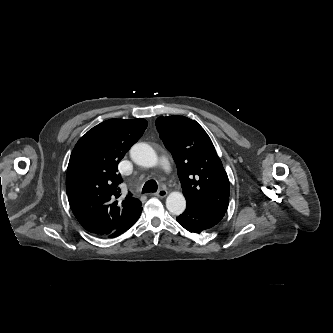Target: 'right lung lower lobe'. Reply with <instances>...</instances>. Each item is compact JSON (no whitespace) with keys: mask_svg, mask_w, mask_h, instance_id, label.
<instances>
[{"mask_svg":"<svg viewBox=\"0 0 333 333\" xmlns=\"http://www.w3.org/2000/svg\"><path fill=\"white\" fill-rule=\"evenodd\" d=\"M141 211L135 217H133L127 224H125L123 227L117 229L112 234H110L109 237L118 236V235L122 234L123 232H125L126 230H128L131 226H133L135 224V222L138 220V218L140 217Z\"/></svg>","mask_w":333,"mask_h":333,"instance_id":"obj_1","label":"right lung lower lobe"}]
</instances>
